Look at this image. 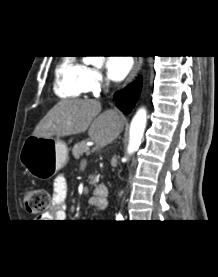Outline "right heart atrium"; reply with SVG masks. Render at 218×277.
Returning a JSON list of instances; mask_svg holds the SVG:
<instances>
[{"label":"right heart atrium","mask_w":218,"mask_h":277,"mask_svg":"<svg viewBox=\"0 0 218 277\" xmlns=\"http://www.w3.org/2000/svg\"><path fill=\"white\" fill-rule=\"evenodd\" d=\"M84 82L86 91H94L99 89L105 83V78L99 69L95 67H87Z\"/></svg>","instance_id":"1"}]
</instances>
